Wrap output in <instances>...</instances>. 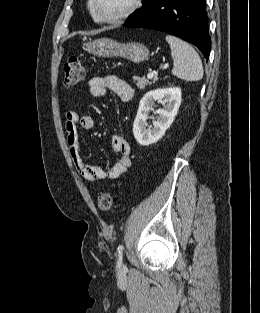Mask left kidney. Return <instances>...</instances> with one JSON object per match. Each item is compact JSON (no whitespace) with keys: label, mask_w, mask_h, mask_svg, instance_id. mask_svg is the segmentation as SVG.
Returning a JSON list of instances; mask_svg holds the SVG:
<instances>
[{"label":"left kidney","mask_w":260,"mask_h":313,"mask_svg":"<svg viewBox=\"0 0 260 313\" xmlns=\"http://www.w3.org/2000/svg\"><path fill=\"white\" fill-rule=\"evenodd\" d=\"M181 100V89L178 87L156 89L144 95L133 124V134L140 145L148 146L163 137L174 121ZM156 101H159L163 108L156 110L157 118L153 121V127L147 128L148 114Z\"/></svg>","instance_id":"left-kidney-1"}]
</instances>
